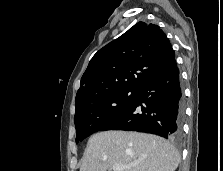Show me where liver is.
Returning <instances> with one entry per match:
<instances>
[{
  "label": "liver",
  "instance_id": "6515ba94",
  "mask_svg": "<svg viewBox=\"0 0 223 171\" xmlns=\"http://www.w3.org/2000/svg\"><path fill=\"white\" fill-rule=\"evenodd\" d=\"M179 162V153L164 138L110 130L90 137L80 171H107L114 164L124 171H175Z\"/></svg>",
  "mask_w": 223,
  "mask_h": 171
}]
</instances>
